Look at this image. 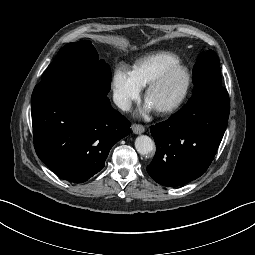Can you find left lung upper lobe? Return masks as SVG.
Here are the masks:
<instances>
[{
	"instance_id": "1",
	"label": "left lung upper lobe",
	"mask_w": 255,
	"mask_h": 255,
	"mask_svg": "<svg viewBox=\"0 0 255 255\" xmlns=\"http://www.w3.org/2000/svg\"><path fill=\"white\" fill-rule=\"evenodd\" d=\"M193 75L195 81L194 91L208 81H216L222 84L219 59L214 51L203 52L198 56L193 68Z\"/></svg>"
}]
</instances>
